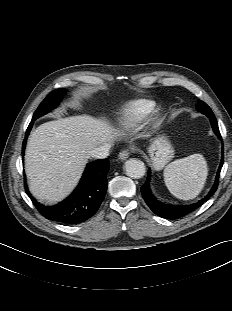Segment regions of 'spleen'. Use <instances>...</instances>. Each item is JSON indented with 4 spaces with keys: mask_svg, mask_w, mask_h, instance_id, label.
<instances>
[{
    "mask_svg": "<svg viewBox=\"0 0 232 311\" xmlns=\"http://www.w3.org/2000/svg\"><path fill=\"white\" fill-rule=\"evenodd\" d=\"M207 175V162L201 154L175 160L164 169L168 190L183 200L193 199L202 191Z\"/></svg>",
    "mask_w": 232,
    "mask_h": 311,
    "instance_id": "spleen-1",
    "label": "spleen"
}]
</instances>
